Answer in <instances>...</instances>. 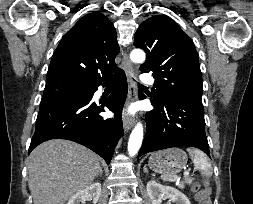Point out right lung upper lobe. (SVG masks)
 Here are the masks:
<instances>
[{"mask_svg": "<svg viewBox=\"0 0 253 204\" xmlns=\"http://www.w3.org/2000/svg\"><path fill=\"white\" fill-rule=\"evenodd\" d=\"M118 53L111 21L100 12L89 13L63 36L52 56L46 83L69 81L93 87L121 71L115 64Z\"/></svg>", "mask_w": 253, "mask_h": 204, "instance_id": "1", "label": "right lung upper lobe"}]
</instances>
